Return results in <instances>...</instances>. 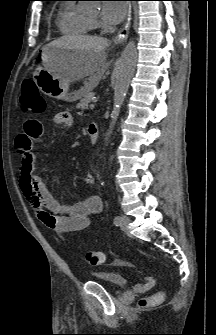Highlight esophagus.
I'll list each match as a JSON object with an SVG mask.
<instances>
[{"instance_id": "34e87169", "label": "esophagus", "mask_w": 216, "mask_h": 335, "mask_svg": "<svg viewBox=\"0 0 216 335\" xmlns=\"http://www.w3.org/2000/svg\"><path fill=\"white\" fill-rule=\"evenodd\" d=\"M131 19H132V16H131V4H130L126 23L124 27L117 33V35L113 39L115 44H119L127 39L129 29H130Z\"/></svg>"}]
</instances>
